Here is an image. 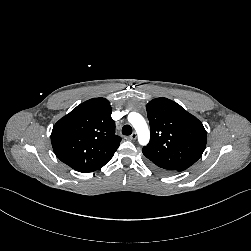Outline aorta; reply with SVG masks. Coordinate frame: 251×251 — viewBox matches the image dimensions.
<instances>
[{"label":"aorta","instance_id":"aorta-1","mask_svg":"<svg viewBox=\"0 0 251 251\" xmlns=\"http://www.w3.org/2000/svg\"><path fill=\"white\" fill-rule=\"evenodd\" d=\"M128 120L137 132L139 143L142 146L147 145L150 139V132L143 116L139 113L131 112Z\"/></svg>","mask_w":251,"mask_h":251}]
</instances>
